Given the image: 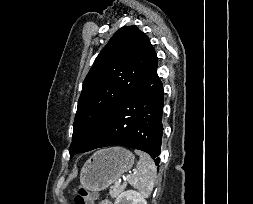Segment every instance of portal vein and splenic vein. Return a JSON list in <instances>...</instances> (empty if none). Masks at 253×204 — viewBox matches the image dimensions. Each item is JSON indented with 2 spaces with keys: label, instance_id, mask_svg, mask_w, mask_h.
Listing matches in <instances>:
<instances>
[{
  "label": "portal vein and splenic vein",
  "instance_id": "18ae733b",
  "mask_svg": "<svg viewBox=\"0 0 253 204\" xmlns=\"http://www.w3.org/2000/svg\"><path fill=\"white\" fill-rule=\"evenodd\" d=\"M129 172H131V171H129ZM115 185H116V186H119V182H118V181H117V182H115Z\"/></svg>",
  "mask_w": 253,
  "mask_h": 204
}]
</instances>
